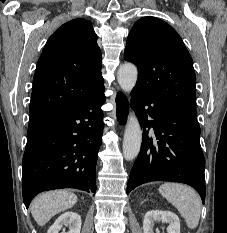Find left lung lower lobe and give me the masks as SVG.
I'll return each mask as SVG.
<instances>
[{
	"label": "left lung lower lobe",
	"instance_id": "1",
	"mask_svg": "<svg viewBox=\"0 0 227 233\" xmlns=\"http://www.w3.org/2000/svg\"><path fill=\"white\" fill-rule=\"evenodd\" d=\"M131 106L143 129V140L126 193L151 181L180 182L196 189L204 203L205 158L197 119L135 88Z\"/></svg>",
	"mask_w": 227,
	"mask_h": 233
}]
</instances>
